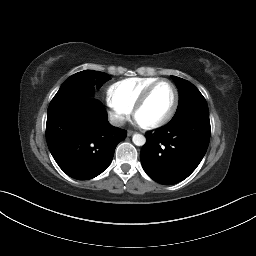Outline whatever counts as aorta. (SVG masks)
<instances>
[{
    "label": "aorta",
    "mask_w": 256,
    "mask_h": 256,
    "mask_svg": "<svg viewBox=\"0 0 256 256\" xmlns=\"http://www.w3.org/2000/svg\"><path fill=\"white\" fill-rule=\"evenodd\" d=\"M132 141L136 146H143L146 142V138L142 134H134Z\"/></svg>",
    "instance_id": "obj_1"
}]
</instances>
